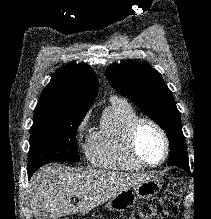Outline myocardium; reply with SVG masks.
I'll return each mask as SVG.
<instances>
[{"label": "myocardium", "mask_w": 211, "mask_h": 219, "mask_svg": "<svg viewBox=\"0 0 211 219\" xmlns=\"http://www.w3.org/2000/svg\"><path fill=\"white\" fill-rule=\"evenodd\" d=\"M149 124L153 126L161 135L164 143V154L162 159L155 164H150L145 162L142 157L140 156L138 150V132L142 125ZM128 149L132 158L142 167V168H158L161 167L166 163L170 155V141L168 135L164 128L154 119L147 118V117H139L137 118L129 127L128 130Z\"/></svg>", "instance_id": "obj_1"}]
</instances>
